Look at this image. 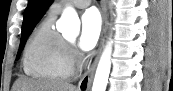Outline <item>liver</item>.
I'll return each instance as SVG.
<instances>
[{"label": "liver", "mask_w": 173, "mask_h": 91, "mask_svg": "<svg viewBox=\"0 0 173 91\" xmlns=\"http://www.w3.org/2000/svg\"><path fill=\"white\" fill-rule=\"evenodd\" d=\"M12 91H76L75 86L62 81H44L21 77Z\"/></svg>", "instance_id": "liver-1"}]
</instances>
